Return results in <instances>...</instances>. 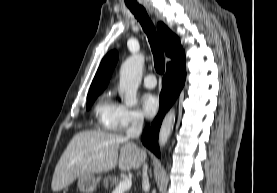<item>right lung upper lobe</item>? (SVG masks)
Instances as JSON below:
<instances>
[{"mask_svg": "<svg viewBox=\"0 0 277 193\" xmlns=\"http://www.w3.org/2000/svg\"><path fill=\"white\" fill-rule=\"evenodd\" d=\"M157 30L162 40L165 53L168 57L171 58V62L184 55L179 38L174 33H172L167 26L160 22L157 24ZM117 60L118 53L116 51L109 52L102 59L98 71L91 84L89 94L94 92H101L107 86Z\"/></svg>", "mask_w": 277, "mask_h": 193, "instance_id": "1", "label": "right lung upper lobe"}]
</instances>
